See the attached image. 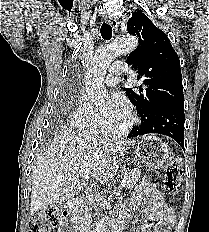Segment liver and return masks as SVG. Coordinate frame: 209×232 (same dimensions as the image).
I'll use <instances>...</instances> for the list:
<instances>
[{
  "mask_svg": "<svg viewBox=\"0 0 209 232\" xmlns=\"http://www.w3.org/2000/svg\"><path fill=\"white\" fill-rule=\"evenodd\" d=\"M135 141L113 142L72 130H62L35 161L32 172L31 213L61 205L78 194L83 173L99 183L112 179L126 147Z\"/></svg>",
  "mask_w": 209,
  "mask_h": 232,
  "instance_id": "6515ba94",
  "label": "liver"
}]
</instances>
